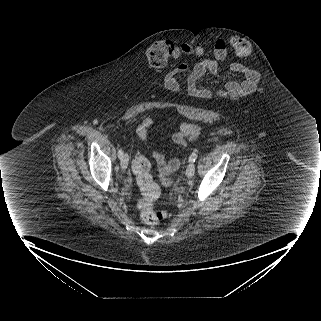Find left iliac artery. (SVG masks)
<instances>
[{
	"mask_svg": "<svg viewBox=\"0 0 321 321\" xmlns=\"http://www.w3.org/2000/svg\"><path fill=\"white\" fill-rule=\"evenodd\" d=\"M198 154L197 153H192L189 157V161L190 162H195V160L197 159Z\"/></svg>",
	"mask_w": 321,
	"mask_h": 321,
	"instance_id": "1",
	"label": "left iliac artery"
}]
</instances>
